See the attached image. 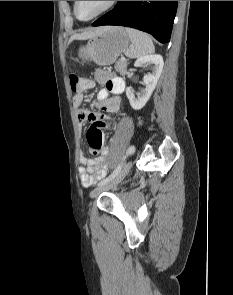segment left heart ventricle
Wrapping results in <instances>:
<instances>
[{
    "label": "left heart ventricle",
    "mask_w": 233,
    "mask_h": 295,
    "mask_svg": "<svg viewBox=\"0 0 233 295\" xmlns=\"http://www.w3.org/2000/svg\"><path fill=\"white\" fill-rule=\"evenodd\" d=\"M108 1H79L77 6L78 16L87 19L103 9Z\"/></svg>",
    "instance_id": "1"
}]
</instances>
